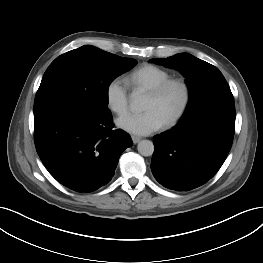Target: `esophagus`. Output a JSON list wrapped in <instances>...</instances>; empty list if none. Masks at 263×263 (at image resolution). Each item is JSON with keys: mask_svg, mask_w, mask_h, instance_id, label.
<instances>
[{"mask_svg": "<svg viewBox=\"0 0 263 263\" xmlns=\"http://www.w3.org/2000/svg\"><path fill=\"white\" fill-rule=\"evenodd\" d=\"M131 138L134 144L138 143L141 140V137L135 135H132Z\"/></svg>", "mask_w": 263, "mask_h": 263, "instance_id": "34e87169", "label": "esophagus"}]
</instances>
